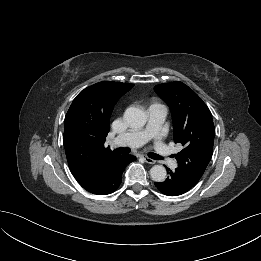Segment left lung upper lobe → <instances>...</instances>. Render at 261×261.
Listing matches in <instances>:
<instances>
[{
	"instance_id": "1",
	"label": "left lung upper lobe",
	"mask_w": 261,
	"mask_h": 261,
	"mask_svg": "<svg viewBox=\"0 0 261 261\" xmlns=\"http://www.w3.org/2000/svg\"><path fill=\"white\" fill-rule=\"evenodd\" d=\"M154 89L170 107L175 143L184 146L176 155L177 168L197 183L213 153L215 128L211 112L182 82L159 84Z\"/></svg>"
}]
</instances>
